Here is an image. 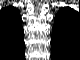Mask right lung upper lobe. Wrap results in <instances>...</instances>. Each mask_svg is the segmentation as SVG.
Instances as JSON below:
<instances>
[{"instance_id":"obj_1","label":"right lung upper lobe","mask_w":80,"mask_h":60,"mask_svg":"<svg viewBox=\"0 0 80 60\" xmlns=\"http://www.w3.org/2000/svg\"><path fill=\"white\" fill-rule=\"evenodd\" d=\"M23 34L18 10L12 6L2 9L0 12V52L19 51L24 42Z\"/></svg>"}]
</instances>
